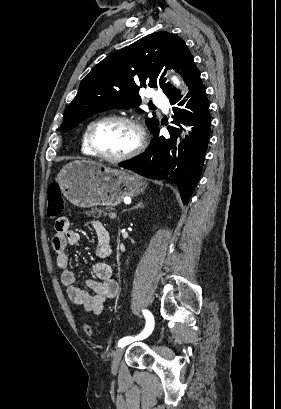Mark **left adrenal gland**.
<instances>
[{
    "label": "left adrenal gland",
    "instance_id": "1",
    "mask_svg": "<svg viewBox=\"0 0 281 409\" xmlns=\"http://www.w3.org/2000/svg\"><path fill=\"white\" fill-rule=\"evenodd\" d=\"M143 207V202H138V205L136 207H133V209H142ZM133 209H130V211H133Z\"/></svg>",
    "mask_w": 281,
    "mask_h": 409
}]
</instances>
